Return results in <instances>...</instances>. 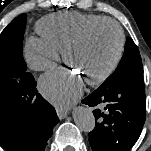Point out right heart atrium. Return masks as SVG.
Segmentation results:
<instances>
[{
	"instance_id": "1",
	"label": "right heart atrium",
	"mask_w": 151,
	"mask_h": 151,
	"mask_svg": "<svg viewBox=\"0 0 151 151\" xmlns=\"http://www.w3.org/2000/svg\"><path fill=\"white\" fill-rule=\"evenodd\" d=\"M24 54L26 62L35 71H46L59 59V50L39 37L27 40Z\"/></svg>"
}]
</instances>
